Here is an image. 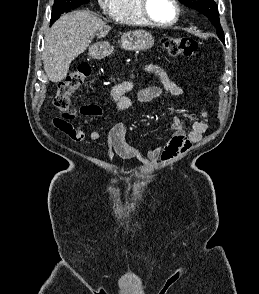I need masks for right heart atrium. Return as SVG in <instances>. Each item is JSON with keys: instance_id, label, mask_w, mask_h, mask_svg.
Segmentation results:
<instances>
[{"instance_id": "1", "label": "right heart atrium", "mask_w": 259, "mask_h": 294, "mask_svg": "<svg viewBox=\"0 0 259 294\" xmlns=\"http://www.w3.org/2000/svg\"><path fill=\"white\" fill-rule=\"evenodd\" d=\"M114 0H98L100 8L104 11H110Z\"/></svg>"}]
</instances>
